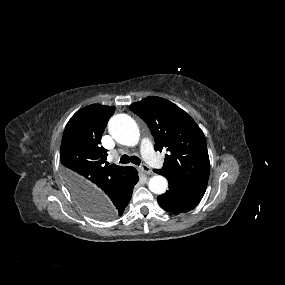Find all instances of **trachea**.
Segmentation results:
<instances>
[{
	"label": "trachea",
	"instance_id": "3493384b",
	"mask_svg": "<svg viewBox=\"0 0 285 285\" xmlns=\"http://www.w3.org/2000/svg\"><path fill=\"white\" fill-rule=\"evenodd\" d=\"M133 163L135 165H140L141 160L137 156H128V155H122L120 158L119 163L127 164V163Z\"/></svg>",
	"mask_w": 285,
	"mask_h": 285
}]
</instances>
